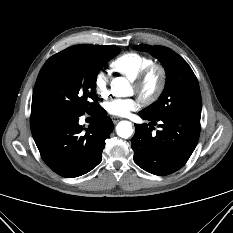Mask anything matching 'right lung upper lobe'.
<instances>
[{
  "mask_svg": "<svg viewBox=\"0 0 233 233\" xmlns=\"http://www.w3.org/2000/svg\"><path fill=\"white\" fill-rule=\"evenodd\" d=\"M75 46H93V45H89V44H81V45H75ZM75 46H72V47H75Z\"/></svg>",
  "mask_w": 233,
  "mask_h": 233,
  "instance_id": "1",
  "label": "right lung upper lobe"
}]
</instances>
